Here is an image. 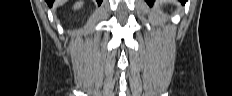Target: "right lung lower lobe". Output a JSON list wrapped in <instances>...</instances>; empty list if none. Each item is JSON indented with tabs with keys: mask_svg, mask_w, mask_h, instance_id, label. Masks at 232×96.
I'll return each instance as SVG.
<instances>
[{
	"mask_svg": "<svg viewBox=\"0 0 232 96\" xmlns=\"http://www.w3.org/2000/svg\"><path fill=\"white\" fill-rule=\"evenodd\" d=\"M96 1H97L98 5H100V4L102 3V0H96ZM46 2H47L48 5L51 7L52 4H53V2H54V0H46Z\"/></svg>",
	"mask_w": 232,
	"mask_h": 96,
	"instance_id": "right-lung-lower-lobe-1",
	"label": "right lung lower lobe"
}]
</instances>
